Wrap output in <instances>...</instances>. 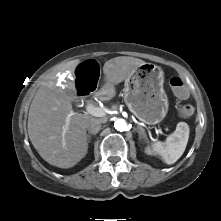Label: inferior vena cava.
Instances as JSON below:
<instances>
[{
  "label": "inferior vena cava",
  "instance_id": "602c4592",
  "mask_svg": "<svg viewBox=\"0 0 221 221\" xmlns=\"http://www.w3.org/2000/svg\"><path fill=\"white\" fill-rule=\"evenodd\" d=\"M101 128V121L99 119L92 118L86 123V129L89 133H97Z\"/></svg>",
  "mask_w": 221,
  "mask_h": 221
}]
</instances>
